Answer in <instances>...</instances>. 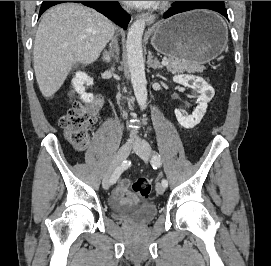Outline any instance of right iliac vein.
I'll use <instances>...</instances> for the list:
<instances>
[{
  "label": "right iliac vein",
  "instance_id": "63e3f726",
  "mask_svg": "<svg viewBox=\"0 0 271 266\" xmlns=\"http://www.w3.org/2000/svg\"><path fill=\"white\" fill-rule=\"evenodd\" d=\"M131 148H132V144L127 143L118 150L110 168L108 169L107 173L105 174L103 178L102 185L104 189H108L111 186V176L114 169L117 167L118 164H120L124 159L128 157V155L130 154Z\"/></svg>",
  "mask_w": 271,
  "mask_h": 266
}]
</instances>
